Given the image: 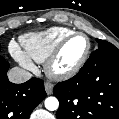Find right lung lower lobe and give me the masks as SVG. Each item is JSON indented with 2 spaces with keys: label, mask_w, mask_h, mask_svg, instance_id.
Masks as SVG:
<instances>
[{
  "label": "right lung lower lobe",
  "mask_w": 119,
  "mask_h": 119,
  "mask_svg": "<svg viewBox=\"0 0 119 119\" xmlns=\"http://www.w3.org/2000/svg\"><path fill=\"white\" fill-rule=\"evenodd\" d=\"M9 63L0 56V119H29L31 112L46 97L41 79L31 78L23 84L10 83Z\"/></svg>",
  "instance_id": "1"
}]
</instances>
